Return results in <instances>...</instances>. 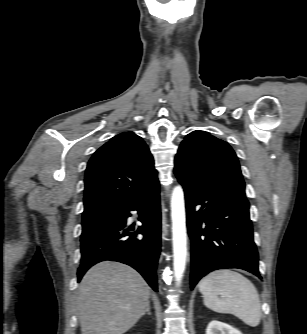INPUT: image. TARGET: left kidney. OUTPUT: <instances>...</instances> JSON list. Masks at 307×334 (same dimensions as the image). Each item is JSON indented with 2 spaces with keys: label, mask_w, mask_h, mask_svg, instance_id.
<instances>
[{
  "label": "left kidney",
  "mask_w": 307,
  "mask_h": 334,
  "mask_svg": "<svg viewBox=\"0 0 307 334\" xmlns=\"http://www.w3.org/2000/svg\"><path fill=\"white\" fill-rule=\"evenodd\" d=\"M206 334H242V333L226 323L213 320L208 324L206 329Z\"/></svg>",
  "instance_id": "obj_1"
}]
</instances>
